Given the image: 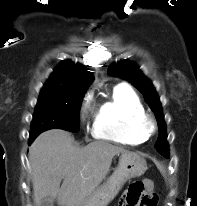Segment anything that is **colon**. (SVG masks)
I'll return each mask as SVG.
<instances>
[{"mask_svg": "<svg viewBox=\"0 0 197 206\" xmlns=\"http://www.w3.org/2000/svg\"><path fill=\"white\" fill-rule=\"evenodd\" d=\"M147 184L148 180L144 183L137 181L130 185L125 197L128 206H156V196Z\"/></svg>", "mask_w": 197, "mask_h": 206, "instance_id": "colon-1", "label": "colon"}]
</instances>
